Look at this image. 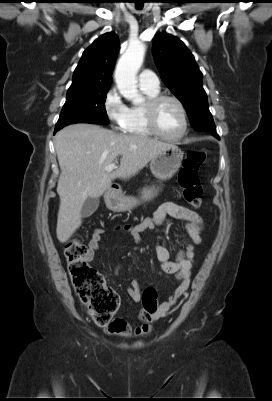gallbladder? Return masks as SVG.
Masks as SVG:
<instances>
[{
  "instance_id": "bac80fb5",
  "label": "gallbladder",
  "mask_w": 272,
  "mask_h": 401,
  "mask_svg": "<svg viewBox=\"0 0 272 401\" xmlns=\"http://www.w3.org/2000/svg\"><path fill=\"white\" fill-rule=\"evenodd\" d=\"M99 207V199L95 197H88L81 209V215L83 217L91 216Z\"/></svg>"
}]
</instances>
